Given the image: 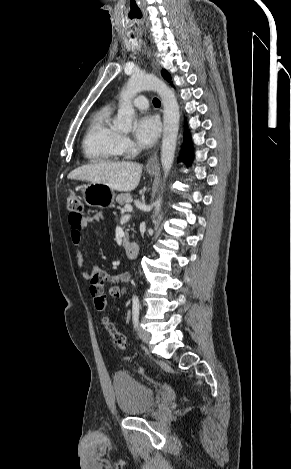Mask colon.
Returning <instances> with one entry per match:
<instances>
[{
	"label": "colon",
	"mask_w": 291,
	"mask_h": 469,
	"mask_svg": "<svg viewBox=\"0 0 291 469\" xmlns=\"http://www.w3.org/2000/svg\"><path fill=\"white\" fill-rule=\"evenodd\" d=\"M67 209L70 213V216L77 218L83 217L84 207L81 200V197L75 191L69 192L67 196ZM108 296L105 293H98L92 301V306L96 311H104L106 308ZM102 323L106 331L110 334L113 345L119 350L123 351L127 347L125 336L118 331L116 326L110 319L106 316L102 318Z\"/></svg>",
	"instance_id": "colon-1"
}]
</instances>
